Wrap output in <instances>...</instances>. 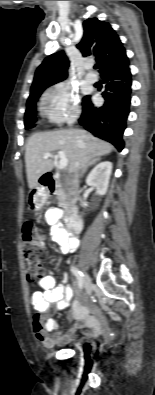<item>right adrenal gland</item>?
Masks as SVG:
<instances>
[{"label":"right adrenal gland","instance_id":"right-adrenal-gland-1","mask_svg":"<svg viewBox=\"0 0 155 395\" xmlns=\"http://www.w3.org/2000/svg\"><path fill=\"white\" fill-rule=\"evenodd\" d=\"M99 160H100V157L95 158V159H93L92 161H90V162L87 164V166L82 170L81 177L84 175V173L86 172V170H87V168H88L89 166L95 164V163H96L97 161H99Z\"/></svg>","mask_w":155,"mask_h":395}]
</instances>
